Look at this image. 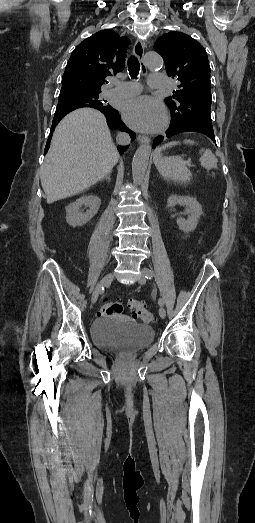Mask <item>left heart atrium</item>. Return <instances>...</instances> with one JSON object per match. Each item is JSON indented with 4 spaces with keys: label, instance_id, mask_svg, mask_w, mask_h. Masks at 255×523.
Wrapping results in <instances>:
<instances>
[{
    "label": "left heart atrium",
    "instance_id": "obj_1",
    "mask_svg": "<svg viewBox=\"0 0 255 523\" xmlns=\"http://www.w3.org/2000/svg\"><path fill=\"white\" fill-rule=\"evenodd\" d=\"M121 111L129 125L143 131L158 130L166 116L162 103L149 96H139L124 101Z\"/></svg>",
    "mask_w": 255,
    "mask_h": 523
}]
</instances>
